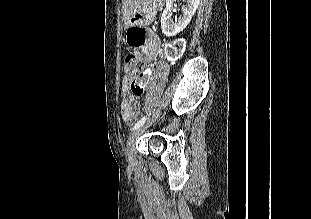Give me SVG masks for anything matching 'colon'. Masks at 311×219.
Returning a JSON list of instances; mask_svg holds the SVG:
<instances>
[{
	"instance_id": "5ec220e1",
	"label": "colon",
	"mask_w": 311,
	"mask_h": 219,
	"mask_svg": "<svg viewBox=\"0 0 311 219\" xmlns=\"http://www.w3.org/2000/svg\"><path fill=\"white\" fill-rule=\"evenodd\" d=\"M130 44L139 45L144 41V30L141 28H132V36L129 39ZM184 50V42L175 40L166 47L165 53L168 59L178 58ZM124 71L127 74L136 75L131 83V90L134 94H142L146 88L148 78L142 73V60L135 54L129 55L124 59Z\"/></svg>"
}]
</instances>
